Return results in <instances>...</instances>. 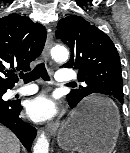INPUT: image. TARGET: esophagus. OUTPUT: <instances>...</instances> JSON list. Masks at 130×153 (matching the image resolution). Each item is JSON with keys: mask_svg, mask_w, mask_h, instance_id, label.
Masks as SVG:
<instances>
[{"mask_svg": "<svg viewBox=\"0 0 130 153\" xmlns=\"http://www.w3.org/2000/svg\"><path fill=\"white\" fill-rule=\"evenodd\" d=\"M53 45V35L51 32L47 34V39L43 51L44 57L48 60L50 59V49ZM59 127V122L50 123L47 127V131L50 135H54Z\"/></svg>", "mask_w": 130, "mask_h": 153, "instance_id": "34e87169", "label": "esophagus"}]
</instances>
